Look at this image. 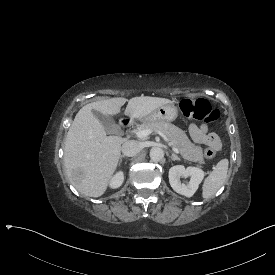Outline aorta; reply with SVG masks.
I'll return each instance as SVG.
<instances>
[{
  "instance_id": "1",
  "label": "aorta",
  "mask_w": 275,
  "mask_h": 275,
  "mask_svg": "<svg viewBox=\"0 0 275 275\" xmlns=\"http://www.w3.org/2000/svg\"><path fill=\"white\" fill-rule=\"evenodd\" d=\"M164 158V151L159 147H154L150 151V159L153 162H159Z\"/></svg>"
}]
</instances>
